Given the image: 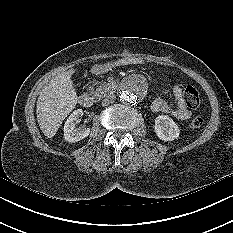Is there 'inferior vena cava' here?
Segmentation results:
<instances>
[{
  "label": "inferior vena cava",
  "mask_w": 233,
  "mask_h": 233,
  "mask_svg": "<svg viewBox=\"0 0 233 233\" xmlns=\"http://www.w3.org/2000/svg\"><path fill=\"white\" fill-rule=\"evenodd\" d=\"M115 95H109L105 99L102 100V106H108L109 104L115 101Z\"/></svg>",
  "instance_id": "obj_1"
}]
</instances>
